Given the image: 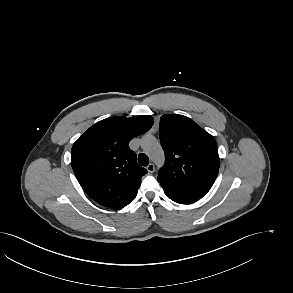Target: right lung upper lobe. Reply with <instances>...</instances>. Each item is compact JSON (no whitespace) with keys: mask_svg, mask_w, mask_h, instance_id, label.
<instances>
[{"mask_svg":"<svg viewBox=\"0 0 293 293\" xmlns=\"http://www.w3.org/2000/svg\"><path fill=\"white\" fill-rule=\"evenodd\" d=\"M151 116L111 117L90 127L73 145L71 166L83 190L113 209L134 200L147 170L137 164L130 140L148 131Z\"/></svg>","mask_w":293,"mask_h":293,"instance_id":"obj_1","label":"right lung upper lobe"}]
</instances>
